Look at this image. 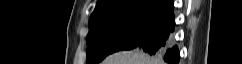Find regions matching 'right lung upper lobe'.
<instances>
[{
	"mask_svg": "<svg viewBox=\"0 0 242 64\" xmlns=\"http://www.w3.org/2000/svg\"><path fill=\"white\" fill-rule=\"evenodd\" d=\"M172 9V0H98L89 23L118 12L149 10L166 14Z\"/></svg>",
	"mask_w": 242,
	"mask_h": 64,
	"instance_id": "cb5924a9",
	"label": "right lung upper lobe"
}]
</instances>
